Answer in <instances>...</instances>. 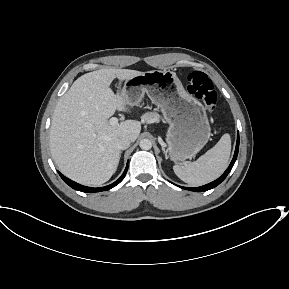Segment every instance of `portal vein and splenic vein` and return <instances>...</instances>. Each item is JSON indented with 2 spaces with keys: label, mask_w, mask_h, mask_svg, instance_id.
Instances as JSON below:
<instances>
[{
  "label": "portal vein and splenic vein",
  "mask_w": 289,
  "mask_h": 289,
  "mask_svg": "<svg viewBox=\"0 0 289 289\" xmlns=\"http://www.w3.org/2000/svg\"><path fill=\"white\" fill-rule=\"evenodd\" d=\"M109 123L110 125L112 126H115L118 124V119L116 117H112L110 120H109Z\"/></svg>",
  "instance_id": "portal-vein-and-splenic-vein-1"
}]
</instances>
